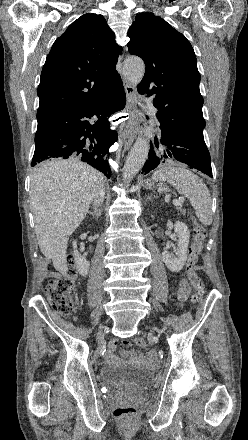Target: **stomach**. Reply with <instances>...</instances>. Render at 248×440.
I'll return each mask as SVG.
<instances>
[{
  "label": "stomach",
  "mask_w": 248,
  "mask_h": 440,
  "mask_svg": "<svg viewBox=\"0 0 248 440\" xmlns=\"http://www.w3.org/2000/svg\"><path fill=\"white\" fill-rule=\"evenodd\" d=\"M143 185H144V187L147 188V189H150V188L153 186V184H152L151 182H149V181H145V182L143 183Z\"/></svg>",
  "instance_id": "stomach-1"
}]
</instances>
